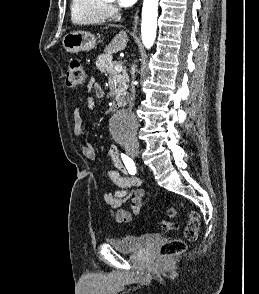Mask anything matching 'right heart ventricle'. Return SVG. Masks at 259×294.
I'll use <instances>...</instances> for the list:
<instances>
[{
    "label": "right heart ventricle",
    "mask_w": 259,
    "mask_h": 294,
    "mask_svg": "<svg viewBox=\"0 0 259 294\" xmlns=\"http://www.w3.org/2000/svg\"><path fill=\"white\" fill-rule=\"evenodd\" d=\"M107 17L105 0H72L71 2V18L76 24H99Z\"/></svg>",
    "instance_id": "e07e8e85"
}]
</instances>
